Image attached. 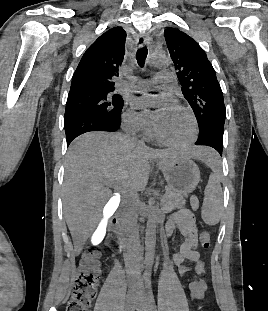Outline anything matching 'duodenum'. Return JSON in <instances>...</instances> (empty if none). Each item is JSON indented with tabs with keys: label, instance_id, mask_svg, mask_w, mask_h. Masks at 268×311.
Wrapping results in <instances>:
<instances>
[{
	"label": "duodenum",
	"instance_id": "duodenum-1",
	"mask_svg": "<svg viewBox=\"0 0 268 311\" xmlns=\"http://www.w3.org/2000/svg\"><path fill=\"white\" fill-rule=\"evenodd\" d=\"M108 230V243L110 248L115 252H120L124 247V239L119 228V221L117 217L111 218Z\"/></svg>",
	"mask_w": 268,
	"mask_h": 311
}]
</instances>
